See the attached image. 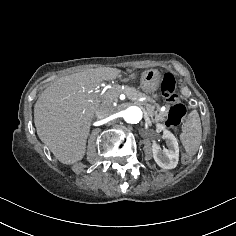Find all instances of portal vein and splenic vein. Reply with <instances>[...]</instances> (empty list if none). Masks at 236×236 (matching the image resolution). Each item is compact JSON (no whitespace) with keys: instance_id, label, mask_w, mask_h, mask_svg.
Returning <instances> with one entry per match:
<instances>
[{"instance_id":"portal-vein-and-splenic-vein-1","label":"portal vein and splenic vein","mask_w":236,"mask_h":236,"mask_svg":"<svg viewBox=\"0 0 236 236\" xmlns=\"http://www.w3.org/2000/svg\"><path fill=\"white\" fill-rule=\"evenodd\" d=\"M115 93H113L112 91H110V95L113 96Z\"/></svg>"}]
</instances>
